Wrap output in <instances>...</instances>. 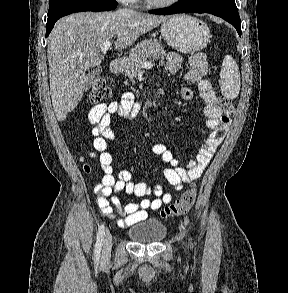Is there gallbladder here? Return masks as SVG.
Here are the masks:
<instances>
[{
	"label": "gallbladder",
	"instance_id": "gallbladder-1",
	"mask_svg": "<svg viewBox=\"0 0 288 293\" xmlns=\"http://www.w3.org/2000/svg\"><path fill=\"white\" fill-rule=\"evenodd\" d=\"M101 70L99 68L91 70L86 78L85 90H88L92 84L100 77Z\"/></svg>",
	"mask_w": 288,
	"mask_h": 293
}]
</instances>
